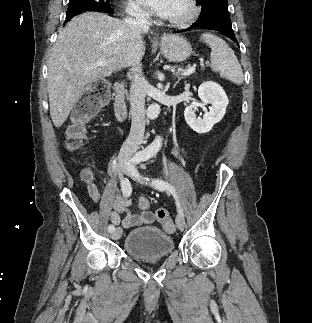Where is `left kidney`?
<instances>
[{
    "mask_svg": "<svg viewBox=\"0 0 312 323\" xmlns=\"http://www.w3.org/2000/svg\"><path fill=\"white\" fill-rule=\"evenodd\" d=\"M198 96L202 104L192 102L190 106H186L184 118L194 132L206 134L212 130L214 124H218L225 116L229 100L223 88L216 82H203L199 86ZM205 104H211L210 112H205L203 120H201V118H197L195 112L199 106H205Z\"/></svg>",
    "mask_w": 312,
    "mask_h": 323,
    "instance_id": "obj_1",
    "label": "left kidney"
}]
</instances>
